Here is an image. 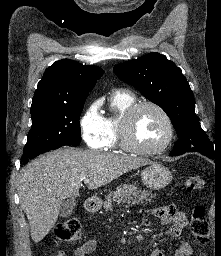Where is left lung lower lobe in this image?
I'll list each match as a JSON object with an SVG mask.
<instances>
[{
  "mask_svg": "<svg viewBox=\"0 0 221 256\" xmlns=\"http://www.w3.org/2000/svg\"><path fill=\"white\" fill-rule=\"evenodd\" d=\"M186 152H198V153H201L215 161L218 159V153H216L215 151L197 148V147H193L189 150H174V151H171L169 155L170 156H178V155L184 154Z\"/></svg>",
  "mask_w": 221,
  "mask_h": 256,
  "instance_id": "0a47b994",
  "label": "left lung lower lobe"
}]
</instances>
